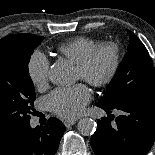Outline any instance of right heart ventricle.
I'll return each instance as SVG.
<instances>
[{"instance_id":"e07e8e85","label":"right heart ventricle","mask_w":155,"mask_h":155,"mask_svg":"<svg viewBox=\"0 0 155 155\" xmlns=\"http://www.w3.org/2000/svg\"><path fill=\"white\" fill-rule=\"evenodd\" d=\"M99 44L92 38L80 36L62 43L58 51L73 63L78 64Z\"/></svg>"}]
</instances>
